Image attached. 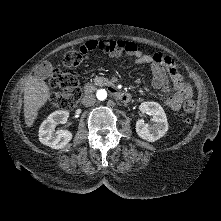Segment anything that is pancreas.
<instances>
[{"instance_id":"pancreas-1","label":"pancreas","mask_w":221,"mask_h":221,"mask_svg":"<svg viewBox=\"0 0 221 221\" xmlns=\"http://www.w3.org/2000/svg\"><path fill=\"white\" fill-rule=\"evenodd\" d=\"M94 84L97 86H103L110 84V81L105 77H96L94 79Z\"/></svg>"}]
</instances>
